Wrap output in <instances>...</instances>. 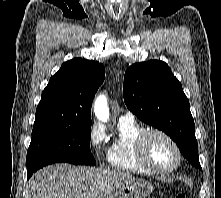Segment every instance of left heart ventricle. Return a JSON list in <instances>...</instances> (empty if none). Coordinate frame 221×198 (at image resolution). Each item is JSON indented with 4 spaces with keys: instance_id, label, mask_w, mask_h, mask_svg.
<instances>
[{
    "instance_id": "left-heart-ventricle-1",
    "label": "left heart ventricle",
    "mask_w": 221,
    "mask_h": 198,
    "mask_svg": "<svg viewBox=\"0 0 221 198\" xmlns=\"http://www.w3.org/2000/svg\"><path fill=\"white\" fill-rule=\"evenodd\" d=\"M147 153L151 163L157 167L170 168L176 163L177 156L173 146L159 135L149 138Z\"/></svg>"
}]
</instances>
